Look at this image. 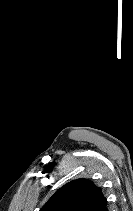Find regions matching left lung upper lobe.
Listing matches in <instances>:
<instances>
[{
  "label": "left lung upper lobe",
  "mask_w": 133,
  "mask_h": 211,
  "mask_svg": "<svg viewBox=\"0 0 133 211\" xmlns=\"http://www.w3.org/2000/svg\"><path fill=\"white\" fill-rule=\"evenodd\" d=\"M105 202L102 190L82 178L62 186L40 211H97Z\"/></svg>",
  "instance_id": "1"
}]
</instances>
